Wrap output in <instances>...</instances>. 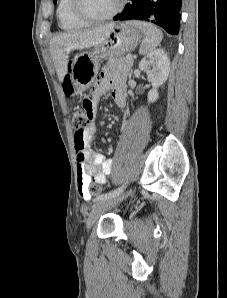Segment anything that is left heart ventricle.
Listing matches in <instances>:
<instances>
[{
    "mask_svg": "<svg viewBox=\"0 0 227 298\" xmlns=\"http://www.w3.org/2000/svg\"><path fill=\"white\" fill-rule=\"evenodd\" d=\"M85 12L93 17H102L110 13L117 0H83Z\"/></svg>",
    "mask_w": 227,
    "mask_h": 298,
    "instance_id": "left-heart-ventricle-1",
    "label": "left heart ventricle"
}]
</instances>
